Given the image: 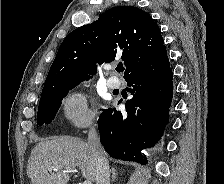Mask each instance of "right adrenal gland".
Segmentation results:
<instances>
[{"label":"right adrenal gland","instance_id":"right-adrenal-gland-1","mask_svg":"<svg viewBox=\"0 0 224 184\" xmlns=\"http://www.w3.org/2000/svg\"><path fill=\"white\" fill-rule=\"evenodd\" d=\"M111 172H112V182H114L116 180V170L114 167H112Z\"/></svg>","mask_w":224,"mask_h":184}]
</instances>
